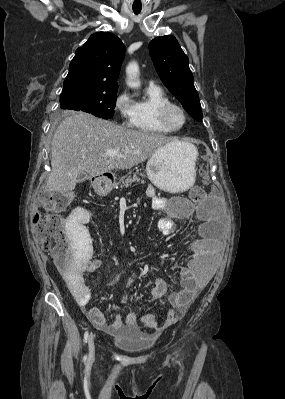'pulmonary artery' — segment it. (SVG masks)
Here are the masks:
<instances>
[{"label":"pulmonary artery","mask_w":285,"mask_h":399,"mask_svg":"<svg viewBox=\"0 0 285 399\" xmlns=\"http://www.w3.org/2000/svg\"><path fill=\"white\" fill-rule=\"evenodd\" d=\"M154 85H156V83L154 81L149 82V86H154Z\"/></svg>","instance_id":"pulmonary-artery-1"}]
</instances>
